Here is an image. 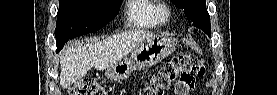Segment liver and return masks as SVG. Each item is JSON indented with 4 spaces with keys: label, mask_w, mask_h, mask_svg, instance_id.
<instances>
[{
    "label": "liver",
    "mask_w": 277,
    "mask_h": 95,
    "mask_svg": "<svg viewBox=\"0 0 277 95\" xmlns=\"http://www.w3.org/2000/svg\"><path fill=\"white\" fill-rule=\"evenodd\" d=\"M154 37L155 35L149 32L131 30L85 45L79 42L71 43L60 55L62 88H69L93 67L99 71L111 68L140 43Z\"/></svg>",
    "instance_id": "1"
}]
</instances>
